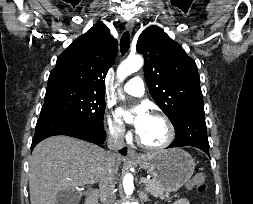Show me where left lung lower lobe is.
<instances>
[{"instance_id":"1","label":"left lung lower lobe","mask_w":253,"mask_h":204,"mask_svg":"<svg viewBox=\"0 0 253 204\" xmlns=\"http://www.w3.org/2000/svg\"><path fill=\"white\" fill-rule=\"evenodd\" d=\"M204 114V110H198L185 116L180 123L174 127L176 137L168 148L193 146L201 149L209 156V142Z\"/></svg>"}]
</instances>
